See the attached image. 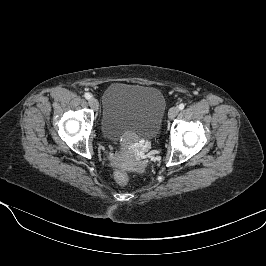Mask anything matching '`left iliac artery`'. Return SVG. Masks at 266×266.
I'll use <instances>...</instances> for the list:
<instances>
[{
	"label": "left iliac artery",
	"mask_w": 266,
	"mask_h": 266,
	"mask_svg": "<svg viewBox=\"0 0 266 266\" xmlns=\"http://www.w3.org/2000/svg\"><path fill=\"white\" fill-rule=\"evenodd\" d=\"M184 107H185V104H184V103H181V104H179V106H178L179 110L184 109Z\"/></svg>",
	"instance_id": "44dca946"
}]
</instances>
